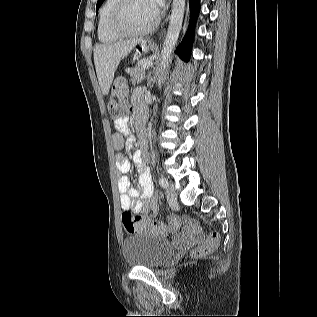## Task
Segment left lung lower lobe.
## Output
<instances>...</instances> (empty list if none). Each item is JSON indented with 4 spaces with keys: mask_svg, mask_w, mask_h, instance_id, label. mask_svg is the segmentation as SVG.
<instances>
[{
    "mask_svg": "<svg viewBox=\"0 0 317 317\" xmlns=\"http://www.w3.org/2000/svg\"><path fill=\"white\" fill-rule=\"evenodd\" d=\"M190 11H191V19L189 24V29L187 35L185 36L182 43L177 48V54L185 61L189 60L190 52L193 43V33L195 22L200 9V0H189Z\"/></svg>",
    "mask_w": 317,
    "mask_h": 317,
    "instance_id": "0a47b994",
    "label": "left lung lower lobe"
}]
</instances>
